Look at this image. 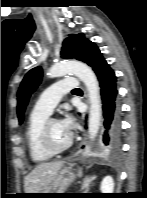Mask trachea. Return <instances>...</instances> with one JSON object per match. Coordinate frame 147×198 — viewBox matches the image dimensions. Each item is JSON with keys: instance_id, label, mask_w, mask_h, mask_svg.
I'll list each match as a JSON object with an SVG mask.
<instances>
[{"instance_id": "1", "label": "trachea", "mask_w": 147, "mask_h": 198, "mask_svg": "<svg viewBox=\"0 0 147 198\" xmlns=\"http://www.w3.org/2000/svg\"><path fill=\"white\" fill-rule=\"evenodd\" d=\"M77 90H79V89L78 88L74 89V91H77Z\"/></svg>"}]
</instances>
